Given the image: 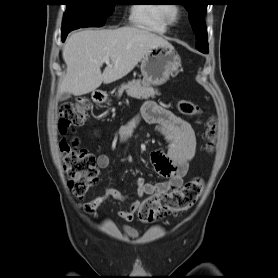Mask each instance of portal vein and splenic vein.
Here are the masks:
<instances>
[{"label": "portal vein and splenic vein", "mask_w": 278, "mask_h": 278, "mask_svg": "<svg viewBox=\"0 0 278 278\" xmlns=\"http://www.w3.org/2000/svg\"><path fill=\"white\" fill-rule=\"evenodd\" d=\"M102 62H105L106 64L110 63L109 57L103 58Z\"/></svg>", "instance_id": "1"}]
</instances>
